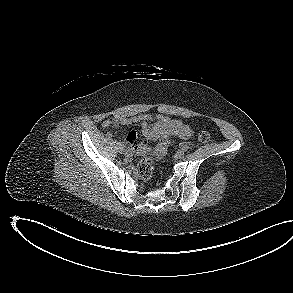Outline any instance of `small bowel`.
Returning a JSON list of instances; mask_svg holds the SVG:
<instances>
[{"label": "small bowel", "mask_w": 293, "mask_h": 293, "mask_svg": "<svg viewBox=\"0 0 293 293\" xmlns=\"http://www.w3.org/2000/svg\"><path fill=\"white\" fill-rule=\"evenodd\" d=\"M132 123L141 126L145 137L143 142H139L135 131L127 134L126 142L135 150L144 148L149 141L159 140L165 136L187 139L193 135L189 125L165 115L140 114L133 118L107 119L102 125L104 128H111L128 126Z\"/></svg>", "instance_id": "1"}]
</instances>
